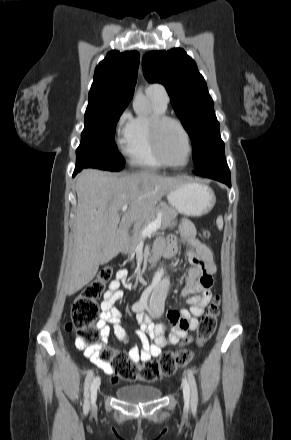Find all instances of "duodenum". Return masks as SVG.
Listing matches in <instances>:
<instances>
[{
  "label": "duodenum",
  "instance_id": "1",
  "mask_svg": "<svg viewBox=\"0 0 291 440\" xmlns=\"http://www.w3.org/2000/svg\"><path fill=\"white\" fill-rule=\"evenodd\" d=\"M157 254L156 253H152L148 258L147 261L148 262H153L156 258H157Z\"/></svg>",
  "mask_w": 291,
  "mask_h": 440
}]
</instances>
